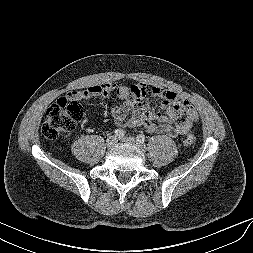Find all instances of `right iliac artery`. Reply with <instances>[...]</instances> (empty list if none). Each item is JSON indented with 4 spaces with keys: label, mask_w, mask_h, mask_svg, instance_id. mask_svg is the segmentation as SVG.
<instances>
[{
    "label": "right iliac artery",
    "mask_w": 253,
    "mask_h": 253,
    "mask_svg": "<svg viewBox=\"0 0 253 253\" xmlns=\"http://www.w3.org/2000/svg\"><path fill=\"white\" fill-rule=\"evenodd\" d=\"M114 135H115V137H117L118 139H121V138L124 137L125 131L122 130V129H116V130L114 131Z\"/></svg>",
    "instance_id": "obj_1"
}]
</instances>
